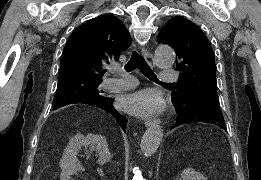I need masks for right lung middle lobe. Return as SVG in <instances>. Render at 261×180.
Segmentation results:
<instances>
[{
    "label": "right lung middle lobe",
    "mask_w": 261,
    "mask_h": 180,
    "mask_svg": "<svg viewBox=\"0 0 261 180\" xmlns=\"http://www.w3.org/2000/svg\"><path fill=\"white\" fill-rule=\"evenodd\" d=\"M102 80H68L58 82L56 95L53 100V109H58L68 101L86 98L99 99L103 97V91L98 89Z\"/></svg>",
    "instance_id": "1"
}]
</instances>
